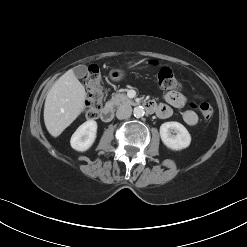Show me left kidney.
Here are the masks:
<instances>
[{"mask_svg":"<svg viewBox=\"0 0 247 247\" xmlns=\"http://www.w3.org/2000/svg\"><path fill=\"white\" fill-rule=\"evenodd\" d=\"M172 130H174L176 135H172ZM160 136L164 145L176 151L187 148L191 142L188 130L178 122L163 123L160 126Z\"/></svg>","mask_w":247,"mask_h":247,"instance_id":"1","label":"left kidney"}]
</instances>
